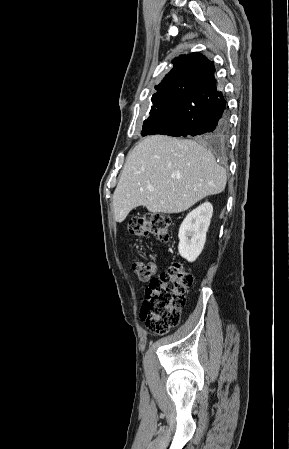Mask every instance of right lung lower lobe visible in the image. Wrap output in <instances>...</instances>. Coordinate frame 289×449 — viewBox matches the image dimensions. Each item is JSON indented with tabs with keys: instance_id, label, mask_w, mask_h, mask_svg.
I'll return each instance as SVG.
<instances>
[{
	"instance_id": "right-lung-lower-lobe-1",
	"label": "right lung lower lobe",
	"mask_w": 289,
	"mask_h": 449,
	"mask_svg": "<svg viewBox=\"0 0 289 449\" xmlns=\"http://www.w3.org/2000/svg\"><path fill=\"white\" fill-rule=\"evenodd\" d=\"M175 118L154 134L223 139L228 131L227 103L214 76L207 80H180L169 92Z\"/></svg>"
}]
</instances>
